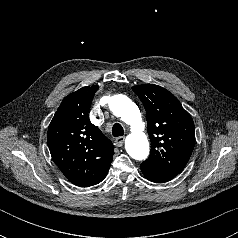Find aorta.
<instances>
[{
  "label": "aorta",
  "mask_w": 238,
  "mask_h": 238,
  "mask_svg": "<svg viewBox=\"0 0 238 238\" xmlns=\"http://www.w3.org/2000/svg\"><path fill=\"white\" fill-rule=\"evenodd\" d=\"M108 105L114 115L131 126V134L125 141L127 153L136 160L146 159L149 154V143L143 132L144 123L138 107L125 95L118 94L109 98Z\"/></svg>",
  "instance_id": "aorta-1"
}]
</instances>
